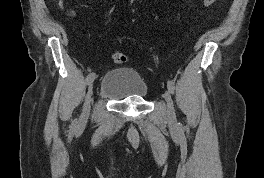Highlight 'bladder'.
Returning <instances> with one entry per match:
<instances>
[{
  "label": "bladder",
  "mask_w": 264,
  "mask_h": 178,
  "mask_svg": "<svg viewBox=\"0 0 264 178\" xmlns=\"http://www.w3.org/2000/svg\"><path fill=\"white\" fill-rule=\"evenodd\" d=\"M149 88L140 73L129 67H119L107 72L101 80L99 93L114 101L145 99Z\"/></svg>",
  "instance_id": "bladder-1"
}]
</instances>
